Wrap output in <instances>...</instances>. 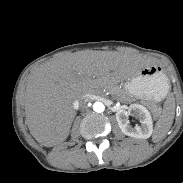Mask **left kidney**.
Segmentation results:
<instances>
[{"mask_svg": "<svg viewBox=\"0 0 183 183\" xmlns=\"http://www.w3.org/2000/svg\"><path fill=\"white\" fill-rule=\"evenodd\" d=\"M129 115L138 118L140 125L136 124L134 127L131 126L128 120ZM116 120L121 131L127 136L139 139H147L152 135V117L150 112L143 105L131 104L128 107V110H118L116 113Z\"/></svg>", "mask_w": 183, "mask_h": 183, "instance_id": "5707ae66", "label": "left kidney"}]
</instances>
